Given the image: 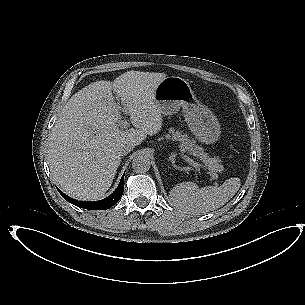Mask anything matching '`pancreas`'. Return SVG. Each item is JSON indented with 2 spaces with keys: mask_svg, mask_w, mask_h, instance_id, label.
<instances>
[{
  "mask_svg": "<svg viewBox=\"0 0 305 305\" xmlns=\"http://www.w3.org/2000/svg\"><path fill=\"white\" fill-rule=\"evenodd\" d=\"M170 133L171 139L179 142L180 151L183 153L187 152L201 160L212 175H216L217 172L223 171L224 168L220 163L219 158L209 156L188 134L179 130L175 131L174 129L170 130Z\"/></svg>",
  "mask_w": 305,
  "mask_h": 305,
  "instance_id": "cf45deb5",
  "label": "pancreas"
}]
</instances>
